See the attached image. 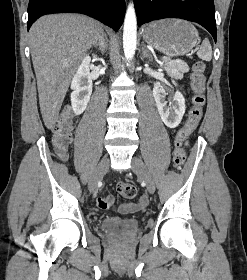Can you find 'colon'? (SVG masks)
<instances>
[{
    "mask_svg": "<svg viewBox=\"0 0 247 280\" xmlns=\"http://www.w3.org/2000/svg\"><path fill=\"white\" fill-rule=\"evenodd\" d=\"M205 65L203 62H196L191 72L192 108L189 111L185 125L177 132L174 139L173 162L176 168L180 169L186 160V153L183 144L189 135L197 127L205 105ZM72 113L65 109L60 114L53 127V142L60 157H64L67 147L72 139ZM117 190L124 198L132 199L137 195V189L130 183H119Z\"/></svg>",
    "mask_w": 247,
    "mask_h": 280,
    "instance_id": "colon-1",
    "label": "colon"
}]
</instances>
